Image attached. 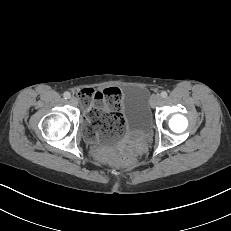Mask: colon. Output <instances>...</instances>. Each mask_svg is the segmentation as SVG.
Returning a JSON list of instances; mask_svg holds the SVG:
<instances>
[{"label":"colon","instance_id":"obj_1","mask_svg":"<svg viewBox=\"0 0 231 231\" xmlns=\"http://www.w3.org/2000/svg\"><path fill=\"white\" fill-rule=\"evenodd\" d=\"M81 104L88 109L87 117L90 123L100 131L102 137L111 138L120 134L125 126V119L119 108L121 105V91L116 88L105 89L101 93L84 91L80 94ZM106 104L110 109H105ZM116 162L122 166H131V159L119 152L115 146L111 148Z\"/></svg>","mask_w":231,"mask_h":231}]
</instances>
